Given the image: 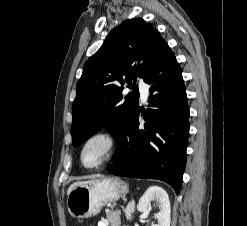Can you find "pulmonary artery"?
<instances>
[{
	"mask_svg": "<svg viewBox=\"0 0 247 226\" xmlns=\"http://www.w3.org/2000/svg\"><path fill=\"white\" fill-rule=\"evenodd\" d=\"M138 88L141 94V99L145 102L148 95V86L144 82H139Z\"/></svg>",
	"mask_w": 247,
	"mask_h": 226,
	"instance_id": "1",
	"label": "pulmonary artery"
}]
</instances>
